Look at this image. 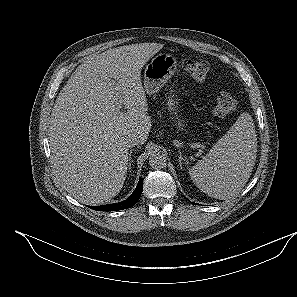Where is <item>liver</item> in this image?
Wrapping results in <instances>:
<instances>
[{
    "label": "liver",
    "mask_w": 297,
    "mask_h": 297,
    "mask_svg": "<svg viewBox=\"0 0 297 297\" xmlns=\"http://www.w3.org/2000/svg\"><path fill=\"white\" fill-rule=\"evenodd\" d=\"M162 48L140 43L95 55L57 96L48 129L51 159L58 181L79 202L103 204L121 191L129 161L125 139L136 134L143 144L151 129L140 71Z\"/></svg>",
    "instance_id": "1"
}]
</instances>
